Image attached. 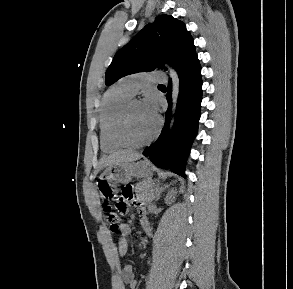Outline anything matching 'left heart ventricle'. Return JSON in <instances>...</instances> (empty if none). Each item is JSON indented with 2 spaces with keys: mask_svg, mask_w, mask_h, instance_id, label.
Returning <instances> with one entry per match:
<instances>
[{
  "mask_svg": "<svg viewBox=\"0 0 293 289\" xmlns=\"http://www.w3.org/2000/svg\"><path fill=\"white\" fill-rule=\"evenodd\" d=\"M157 119L152 118L142 103L132 106L127 120V135L133 142H143L154 132Z\"/></svg>",
  "mask_w": 293,
  "mask_h": 289,
  "instance_id": "left-heart-ventricle-1",
  "label": "left heart ventricle"
}]
</instances>
